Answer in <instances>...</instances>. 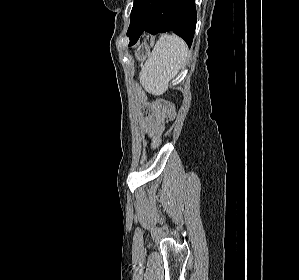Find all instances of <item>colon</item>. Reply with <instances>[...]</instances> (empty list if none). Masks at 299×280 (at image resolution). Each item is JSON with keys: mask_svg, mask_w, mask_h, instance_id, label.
Returning <instances> with one entry per match:
<instances>
[{"mask_svg": "<svg viewBox=\"0 0 299 280\" xmlns=\"http://www.w3.org/2000/svg\"><path fill=\"white\" fill-rule=\"evenodd\" d=\"M158 107H160L169 118H172L174 116V107L167 101H159Z\"/></svg>", "mask_w": 299, "mask_h": 280, "instance_id": "1", "label": "colon"}]
</instances>
